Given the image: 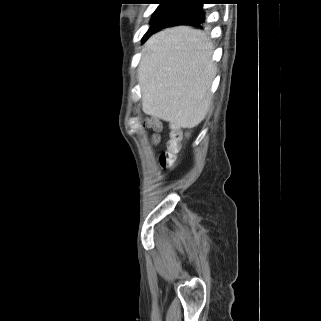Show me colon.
Wrapping results in <instances>:
<instances>
[{
  "instance_id": "1",
  "label": "colon",
  "mask_w": 321,
  "mask_h": 321,
  "mask_svg": "<svg viewBox=\"0 0 321 321\" xmlns=\"http://www.w3.org/2000/svg\"><path fill=\"white\" fill-rule=\"evenodd\" d=\"M148 124L153 129H156L158 127L157 123L154 121H150ZM182 139V132L178 128L173 127L167 149L160 155L159 158L160 164L163 168H170L171 166H173L176 154L180 150Z\"/></svg>"
}]
</instances>
